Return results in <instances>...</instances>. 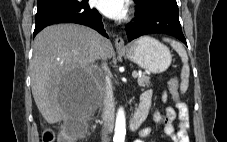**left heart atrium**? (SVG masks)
I'll return each instance as SVG.
<instances>
[{
    "label": "left heart atrium",
    "instance_id": "left-heart-atrium-1",
    "mask_svg": "<svg viewBox=\"0 0 227 142\" xmlns=\"http://www.w3.org/2000/svg\"><path fill=\"white\" fill-rule=\"evenodd\" d=\"M93 5L104 15L121 19L126 15L128 0H92Z\"/></svg>",
    "mask_w": 227,
    "mask_h": 142
}]
</instances>
